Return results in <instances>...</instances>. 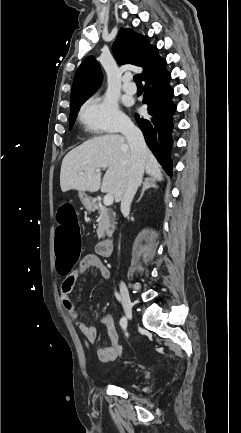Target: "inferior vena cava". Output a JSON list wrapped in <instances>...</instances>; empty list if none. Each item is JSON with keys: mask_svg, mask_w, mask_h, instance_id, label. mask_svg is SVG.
<instances>
[{"mask_svg": "<svg viewBox=\"0 0 241 433\" xmlns=\"http://www.w3.org/2000/svg\"><path fill=\"white\" fill-rule=\"evenodd\" d=\"M131 152V168L128 183L121 199L120 209L123 214L130 210L134 195L142 182L145 166L146 143L141 130L131 121L122 128Z\"/></svg>", "mask_w": 241, "mask_h": 433, "instance_id": "1", "label": "inferior vena cava"}]
</instances>
